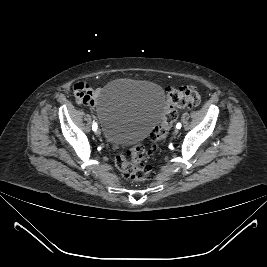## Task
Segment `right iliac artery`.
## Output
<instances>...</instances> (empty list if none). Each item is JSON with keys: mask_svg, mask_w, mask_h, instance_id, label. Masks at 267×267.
I'll list each match as a JSON object with an SVG mask.
<instances>
[{"mask_svg": "<svg viewBox=\"0 0 267 267\" xmlns=\"http://www.w3.org/2000/svg\"><path fill=\"white\" fill-rule=\"evenodd\" d=\"M92 129H93V131L97 130V124L96 123L93 124Z\"/></svg>", "mask_w": 267, "mask_h": 267, "instance_id": "right-iliac-artery-1", "label": "right iliac artery"}]
</instances>
